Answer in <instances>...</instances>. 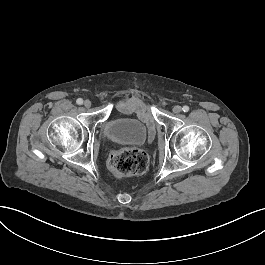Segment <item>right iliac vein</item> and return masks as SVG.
Returning a JSON list of instances; mask_svg holds the SVG:
<instances>
[{
    "label": "right iliac vein",
    "instance_id": "1",
    "mask_svg": "<svg viewBox=\"0 0 265 265\" xmlns=\"http://www.w3.org/2000/svg\"><path fill=\"white\" fill-rule=\"evenodd\" d=\"M84 106H85L86 108H89V107L91 106V101H90V100H85V101H84Z\"/></svg>",
    "mask_w": 265,
    "mask_h": 265
}]
</instances>
